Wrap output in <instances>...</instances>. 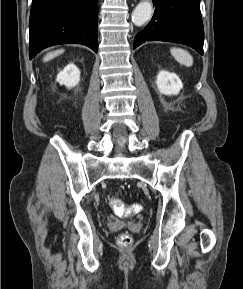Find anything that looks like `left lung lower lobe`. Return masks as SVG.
I'll return each mask as SVG.
<instances>
[{
	"label": "left lung lower lobe",
	"instance_id": "0a47b994",
	"mask_svg": "<svg viewBox=\"0 0 243 289\" xmlns=\"http://www.w3.org/2000/svg\"><path fill=\"white\" fill-rule=\"evenodd\" d=\"M155 13L134 39V49L145 41L186 44L203 55L204 30L200 0H155Z\"/></svg>",
	"mask_w": 243,
	"mask_h": 289
}]
</instances>
